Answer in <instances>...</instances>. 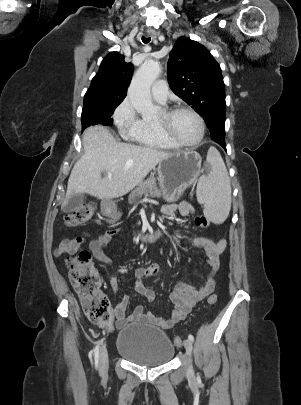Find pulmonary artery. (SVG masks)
I'll return each instance as SVG.
<instances>
[{"instance_id": "pulmonary-artery-1", "label": "pulmonary artery", "mask_w": 301, "mask_h": 405, "mask_svg": "<svg viewBox=\"0 0 301 405\" xmlns=\"http://www.w3.org/2000/svg\"><path fill=\"white\" fill-rule=\"evenodd\" d=\"M151 94L155 101L165 103L168 98V86L164 80L157 81L151 88Z\"/></svg>"}]
</instances>
